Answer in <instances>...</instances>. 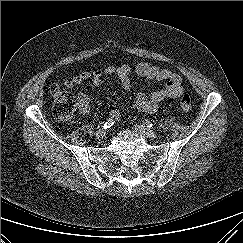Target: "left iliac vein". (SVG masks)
I'll return each mask as SVG.
<instances>
[{"mask_svg": "<svg viewBox=\"0 0 243 243\" xmlns=\"http://www.w3.org/2000/svg\"><path fill=\"white\" fill-rule=\"evenodd\" d=\"M137 132H139L140 134H142L143 136L147 137V138H155L156 137V133L149 129V128H146L145 126L143 125H140V124H134L132 126Z\"/></svg>", "mask_w": 243, "mask_h": 243, "instance_id": "left-iliac-vein-1", "label": "left iliac vein"}]
</instances>
